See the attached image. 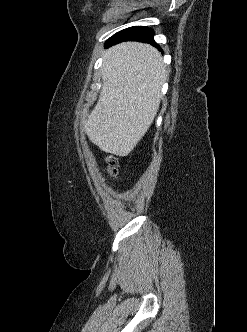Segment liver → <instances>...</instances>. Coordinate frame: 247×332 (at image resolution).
Segmentation results:
<instances>
[{
  "label": "liver",
  "mask_w": 247,
  "mask_h": 332,
  "mask_svg": "<svg viewBox=\"0 0 247 332\" xmlns=\"http://www.w3.org/2000/svg\"><path fill=\"white\" fill-rule=\"evenodd\" d=\"M103 58L100 97L83 131L102 151L123 157L153 123L167 71L161 54L149 44L124 42Z\"/></svg>",
  "instance_id": "6515ba94"
}]
</instances>
